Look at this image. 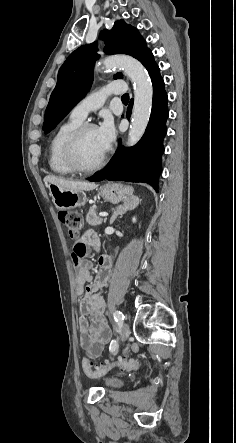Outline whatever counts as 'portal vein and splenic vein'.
<instances>
[{
  "label": "portal vein and splenic vein",
  "mask_w": 236,
  "mask_h": 443,
  "mask_svg": "<svg viewBox=\"0 0 236 443\" xmlns=\"http://www.w3.org/2000/svg\"><path fill=\"white\" fill-rule=\"evenodd\" d=\"M99 216H101V217H106V216H108V213H106V212H101V213L99 214Z\"/></svg>",
  "instance_id": "portal-vein-and-splenic-vein-1"
}]
</instances>
